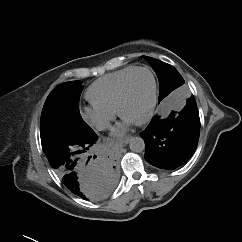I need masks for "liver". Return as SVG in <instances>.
<instances>
[{"label": "liver", "instance_id": "liver-1", "mask_svg": "<svg viewBox=\"0 0 242 242\" xmlns=\"http://www.w3.org/2000/svg\"><path fill=\"white\" fill-rule=\"evenodd\" d=\"M103 196H105V195L99 194V193H90L89 199L98 200V199L102 198Z\"/></svg>", "mask_w": 242, "mask_h": 242}]
</instances>
